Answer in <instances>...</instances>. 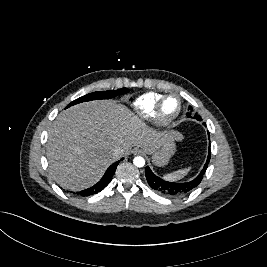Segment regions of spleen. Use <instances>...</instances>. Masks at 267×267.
Segmentation results:
<instances>
[{
    "label": "spleen",
    "instance_id": "spleen-1",
    "mask_svg": "<svg viewBox=\"0 0 267 267\" xmlns=\"http://www.w3.org/2000/svg\"><path fill=\"white\" fill-rule=\"evenodd\" d=\"M190 169L191 167L177 170L175 172L165 175L164 178L169 181H177L186 176L189 173Z\"/></svg>",
    "mask_w": 267,
    "mask_h": 267
}]
</instances>
